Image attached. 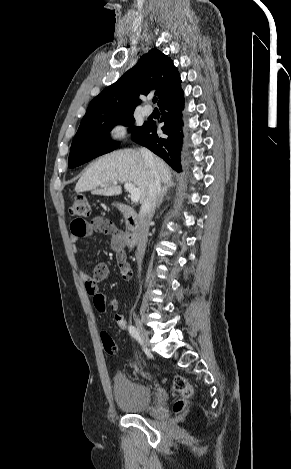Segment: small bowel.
I'll use <instances>...</instances> for the list:
<instances>
[{"label": "small bowel", "mask_w": 291, "mask_h": 469, "mask_svg": "<svg viewBox=\"0 0 291 469\" xmlns=\"http://www.w3.org/2000/svg\"><path fill=\"white\" fill-rule=\"evenodd\" d=\"M70 229V238L74 253H78L79 251L77 242L81 238L90 237L94 233H100L108 237L110 247L117 253V257L118 255H123L126 259L123 252L125 246L124 234L118 230L111 221L100 216L93 218L90 222L74 220L71 223ZM109 272V267L105 263L97 264L90 272H81V278L85 289L92 298H94L98 292V284L108 277ZM107 305H109L114 311H117V301L115 299H111L109 302L107 301ZM114 320L119 328L123 330L127 328V321L123 315L116 312Z\"/></svg>", "instance_id": "c3829d8e"}]
</instances>
